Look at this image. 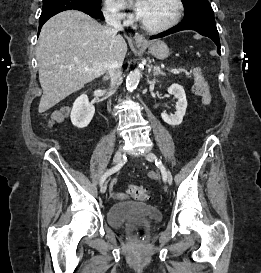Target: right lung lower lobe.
Wrapping results in <instances>:
<instances>
[{"label":"right lung lower lobe","mask_w":261,"mask_h":273,"mask_svg":"<svg viewBox=\"0 0 261 273\" xmlns=\"http://www.w3.org/2000/svg\"><path fill=\"white\" fill-rule=\"evenodd\" d=\"M63 4L56 10L51 12H42L39 18V31L43 24L55 14L62 12L64 10L76 9L80 10L93 18L103 19V14L101 8L87 4L84 0H64Z\"/></svg>","instance_id":"98d812e1"}]
</instances>
